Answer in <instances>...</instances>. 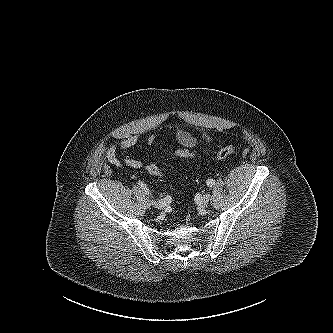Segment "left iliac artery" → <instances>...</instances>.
<instances>
[{
    "mask_svg": "<svg viewBox=\"0 0 333 333\" xmlns=\"http://www.w3.org/2000/svg\"><path fill=\"white\" fill-rule=\"evenodd\" d=\"M215 185V181L213 180V179H208L207 180V186L208 187H212V186H214Z\"/></svg>",
    "mask_w": 333,
    "mask_h": 333,
    "instance_id": "44dca946",
    "label": "left iliac artery"
}]
</instances>
